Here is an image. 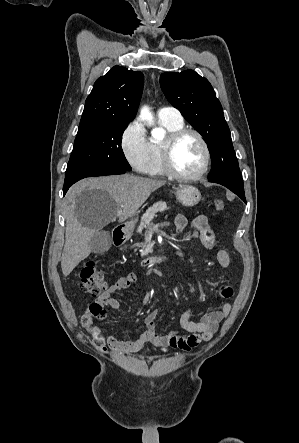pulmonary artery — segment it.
I'll use <instances>...</instances> for the list:
<instances>
[{
  "label": "pulmonary artery",
  "instance_id": "1",
  "mask_svg": "<svg viewBox=\"0 0 299 443\" xmlns=\"http://www.w3.org/2000/svg\"><path fill=\"white\" fill-rule=\"evenodd\" d=\"M158 117L162 120L182 122L183 118L179 110L174 107H162L158 110Z\"/></svg>",
  "mask_w": 299,
  "mask_h": 443
}]
</instances>
